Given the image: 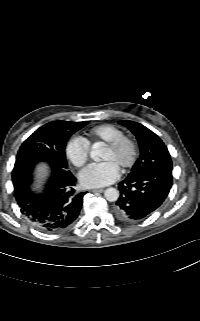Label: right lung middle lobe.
Wrapping results in <instances>:
<instances>
[{"label": "right lung middle lobe", "mask_w": 200, "mask_h": 321, "mask_svg": "<svg viewBox=\"0 0 200 321\" xmlns=\"http://www.w3.org/2000/svg\"><path fill=\"white\" fill-rule=\"evenodd\" d=\"M89 122L53 121L37 129L21 145L16 162L39 158L68 169L65 147L70 136Z\"/></svg>", "instance_id": "obj_1"}]
</instances>
